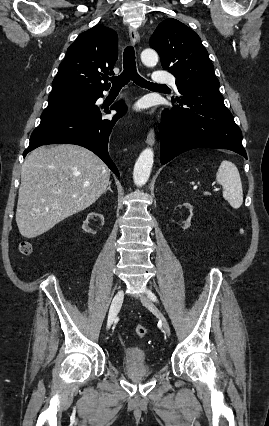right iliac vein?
<instances>
[{"label": "right iliac vein", "instance_id": "right-iliac-vein-1", "mask_svg": "<svg viewBox=\"0 0 269 426\" xmlns=\"http://www.w3.org/2000/svg\"><path fill=\"white\" fill-rule=\"evenodd\" d=\"M123 296H124L123 290H119L115 294V296L112 300L110 309H109L108 320H107V328H110L115 317L117 316L119 309H120L122 302H123Z\"/></svg>", "mask_w": 269, "mask_h": 426}]
</instances>
